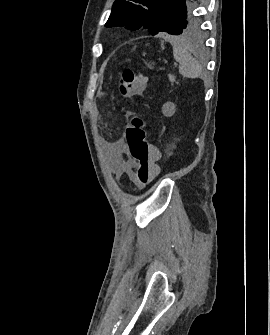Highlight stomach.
Listing matches in <instances>:
<instances>
[{
  "label": "stomach",
  "mask_w": 270,
  "mask_h": 335,
  "mask_svg": "<svg viewBox=\"0 0 270 335\" xmlns=\"http://www.w3.org/2000/svg\"><path fill=\"white\" fill-rule=\"evenodd\" d=\"M148 68H152V64H147Z\"/></svg>",
  "instance_id": "stomach-1"
}]
</instances>
